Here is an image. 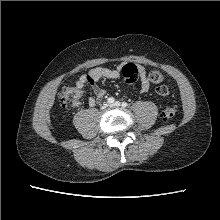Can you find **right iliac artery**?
<instances>
[{"label": "right iliac artery", "mask_w": 220, "mask_h": 220, "mask_svg": "<svg viewBox=\"0 0 220 220\" xmlns=\"http://www.w3.org/2000/svg\"><path fill=\"white\" fill-rule=\"evenodd\" d=\"M114 101H115V99H114L113 97H109V98L107 99V102H108L109 104L114 103Z\"/></svg>", "instance_id": "obj_1"}]
</instances>
